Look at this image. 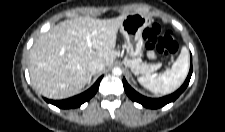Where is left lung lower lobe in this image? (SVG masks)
I'll list each match as a JSON object with an SVG mask.
<instances>
[{
  "label": "left lung lower lobe",
  "instance_id": "1",
  "mask_svg": "<svg viewBox=\"0 0 225 132\" xmlns=\"http://www.w3.org/2000/svg\"><path fill=\"white\" fill-rule=\"evenodd\" d=\"M191 75H192V63H191L189 74H188L184 84L173 94L162 97V98H158V99L147 98V97L140 95L133 88H131L129 86V84L127 83L125 78H123V85H124L126 94L133 101L138 102L147 108L156 109V108L163 107L166 104L176 100L179 97V95L186 89L187 85L189 84Z\"/></svg>",
  "mask_w": 225,
  "mask_h": 132
}]
</instances>
